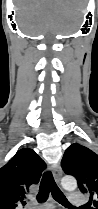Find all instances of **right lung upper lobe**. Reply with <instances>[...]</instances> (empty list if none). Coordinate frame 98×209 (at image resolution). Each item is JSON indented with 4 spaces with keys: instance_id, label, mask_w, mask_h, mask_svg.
Returning <instances> with one entry per match:
<instances>
[{
    "instance_id": "obj_1",
    "label": "right lung upper lobe",
    "mask_w": 98,
    "mask_h": 209,
    "mask_svg": "<svg viewBox=\"0 0 98 209\" xmlns=\"http://www.w3.org/2000/svg\"><path fill=\"white\" fill-rule=\"evenodd\" d=\"M45 169V162L34 150H19L0 168V209H19L25 205L30 186L39 182Z\"/></svg>"
}]
</instances>
